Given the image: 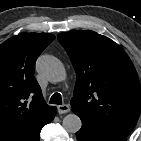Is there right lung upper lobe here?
<instances>
[{"mask_svg":"<svg viewBox=\"0 0 141 141\" xmlns=\"http://www.w3.org/2000/svg\"><path fill=\"white\" fill-rule=\"evenodd\" d=\"M55 39L25 33L0 45V141H32L53 115L34 77L35 62Z\"/></svg>","mask_w":141,"mask_h":141,"instance_id":"right-lung-upper-lobe-1","label":"right lung upper lobe"}]
</instances>
